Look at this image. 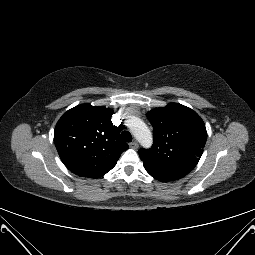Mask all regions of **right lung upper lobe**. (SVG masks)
<instances>
[{
    "instance_id": "right-lung-upper-lobe-1",
    "label": "right lung upper lobe",
    "mask_w": 255,
    "mask_h": 255,
    "mask_svg": "<svg viewBox=\"0 0 255 255\" xmlns=\"http://www.w3.org/2000/svg\"><path fill=\"white\" fill-rule=\"evenodd\" d=\"M104 106L78 105L59 119L54 143L64 165L81 177L100 178L117 163L128 145L119 138Z\"/></svg>"
}]
</instances>
